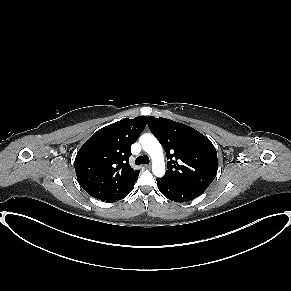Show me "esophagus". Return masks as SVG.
Wrapping results in <instances>:
<instances>
[{"instance_id": "obj_1", "label": "esophagus", "mask_w": 291, "mask_h": 291, "mask_svg": "<svg viewBox=\"0 0 291 291\" xmlns=\"http://www.w3.org/2000/svg\"><path fill=\"white\" fill-rule=\"evenodd\" d=\"M144 168L150 169L151 168V165L150 164L144 165Z\"/></svg>"}]
</instances>
